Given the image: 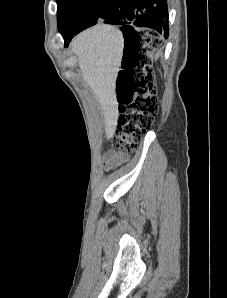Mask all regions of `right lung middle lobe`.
Returning a JSON list of instances; mask_svg holds the SVG:
<instances>
[{"label": "right lung middle lobe", "mask_w": 227, "mask_h": 298, "mask_svg": "<svg viewBox=\"0 0 227 298\" xmlns=\"http://www.w3.org/2000/svg\"><path fill=\"white\" fill-rule=\"evenodd\" d=\"M105 0H57L58 29L63 35L78 29Z\"/></svg>", "instance_id": "obj_1"}]
</instances>
